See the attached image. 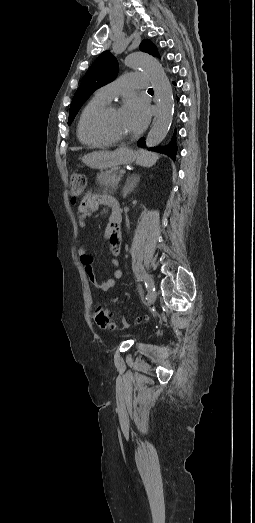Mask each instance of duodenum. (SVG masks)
<instances>
[{
	"instance_id": "1",
	"label": "duodenum",
	"mask_w": 255,
	"mask_h": 523,
	"mask_svg": "<svg viewBox=\"0 0 255 523\" xmlns=\"http://www.w3.org/2000/svg\"><path fill=\"white\" fill-rule=\"evenodd\" d=\"M107 204L111 207L109 224L118 227L122 220V210L119 203L114 198H108Z\"/></svg>"
}]
</instances>
